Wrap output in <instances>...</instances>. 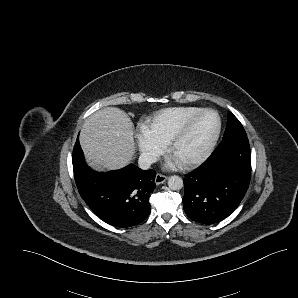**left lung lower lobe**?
Instances as JSON below:
<instances>
[{
	"label": "left lung lower lobe",
	"mask_w": 298,
	"mask_h": 298,
	"mask_svg": "<svg viewBox=\"0 0 298 298\" xmlns=\"http://www.w3.org/2000/svg\"><path fill=\"white\" fill-rule=\"evenodd\" d=\"M251 178V151L246 132L222 139L211 156L184 178L183 208L202 224L229 216L243 199Z\"/></svg>",
	"instance_id": "0a47b994"
}]
</instances>
